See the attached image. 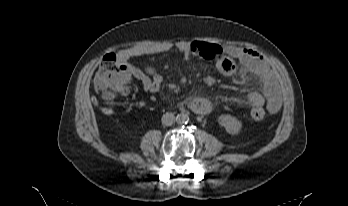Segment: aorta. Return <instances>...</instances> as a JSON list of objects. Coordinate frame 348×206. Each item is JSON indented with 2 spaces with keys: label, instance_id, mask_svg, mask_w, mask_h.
<instances>
[{
  "label": "aorta",
  "instance_id": "aorta-1",
  "mask_svg": "<svg viewBox=\"0 0 348 206\" xmlns=\"http://www.w3.org/2000/svg\"><path fill=\"white\" fill-rule=\"evenodd\" d=\"M176 121L178 124H187L189 122V116L187 113H180L176 117Z\"/></svg>",
  "mask_w": 348,
  "mask_h": 206
}]
</instances>
